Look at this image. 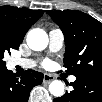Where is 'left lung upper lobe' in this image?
Segmentation results:
<instances>
[{
    "label": "left lung upper lobe",
    "mask_w": 102,
    "mask_h": 102,
    "mask_svg": "<svg viewBox=\"0 0 102 102\" xmlns=\"http://www.w3.org/2000/svg\"><path fill=\"white\" fill-rule=\"evenodd\" d=\"M47 13L64 34L66 72L76 78L102 80V23L80 11Z\"/></svg>",
    "instance_id": "5c2ea615"
}]
</instances>
